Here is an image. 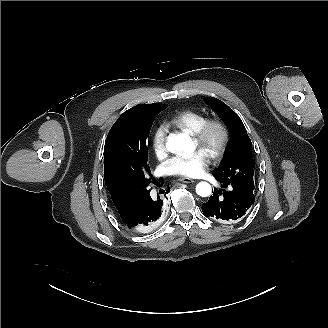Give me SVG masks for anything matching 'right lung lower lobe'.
I'll list each match as a JSON object with an SVG mask.
<instances>
[{
	"instance_id": "98d812e1",
	"label": "right lung lower lobe",
	"mask_w": 328,
	"mask_h": 328,
	"mask_svg": "<svg viewBox=\"0 0 328 328\" xmlns=\"http://www.w3.org/2000/svg\"><path fill=\"white\" fill-rule=\"evenodd\" d=\"M161 191H163V193L165 192L164 190ZM169 191L170 188L167 187L166 193ZM165 210L166 200L164 197L157 196V198H153L149 193L140 200V204L133 213V216L127 221H122L130 230L139 233H147L160 223L164 217Z\"/></svg>"
}]
</instances>
